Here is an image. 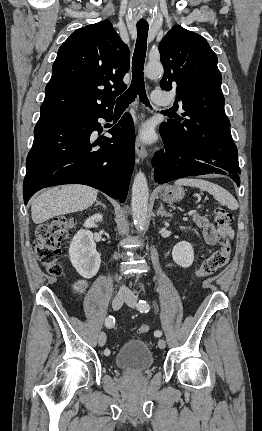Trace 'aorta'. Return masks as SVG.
Returning <instances> with one entry per match:
<instances>
[{
    "label": "aorta",
    "instance_id": "762f6f07",
    "mask_svg": "<svg viewBox=\"0 0 262 431\" xmlns=\"http://www.w3.org/2000/svg\"><path fill=\"white\" fill-rule=\"evenodd\" d=\"M161 63L149 62L145 67V74L149 78H156L163 74ZM149 190L146 176L138 172L132 185L131 207L132 216L136 229L143 230L147 222Z\"/></svg>",
    "mask_w": 262,
    "mask_h": 431
}]
</instances>
